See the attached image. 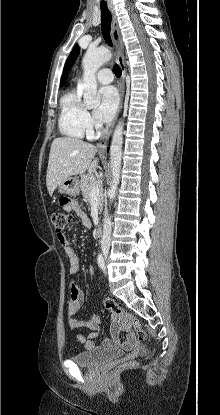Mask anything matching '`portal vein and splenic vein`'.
<instances>
[{"label":"portal vein and splenic vein","mask_w":220,"mask_h":415,"mask_svg":"<svg viewBox=\"0 0 220 415\" xmlns=\"http://www.w3.org/2000/svg\"><path fill=\"white\" fill-rule=\"evenodd\" d=\"M101 190V182L98 181L97 184L92 188L91 192H90V197H97L100 193Z\"/></svg>","instance_id":"1"}]
</instances>
